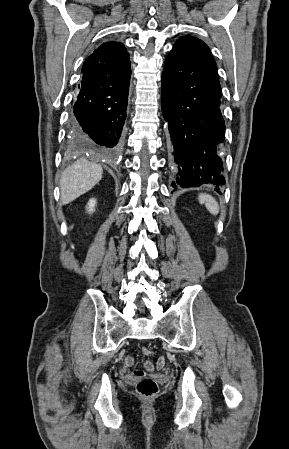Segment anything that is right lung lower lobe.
Listing matches in <instances>:
<instances>
[{"label": "right lung lower lobe", "instance_id": "obj_1", "mask_svg": "<svg viewBox=\"0 0 289 449\" xmlns=\"http://www.w3.org/2000/svg\"><path fill=\"white\" fill-rule=\"evenodd\" d=\"M130 64L100 76L83 75L71 116L72 132L98 151L113 154L126 119Z\"/></svg>", "mask_w": 289, "mask_h": 449}]
</instances>
